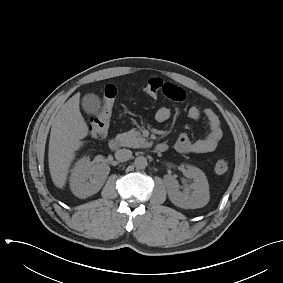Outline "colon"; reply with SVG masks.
<instances>
[{"label":"colon","instance_id":"5ec220e1","mask_svg":"<svg viewBox=\"0 0 283 283\" xmlns=\"http://www.w3.org/2000/svg\"><path fill=\"white\" fill-rule=\"evenodd\" d=\"M163 81L160 78H151L143 86L146 94L155 96L161 92ZM117 96V89L114 85H107L101 99V105L97 115L91 118L89 123V132L95 138H103L109 129L112 110ZM229 169V162L226 159H220L214 166L216 174H224Z\"/></svg>","mask_w":283,"mask_h":283}]
</instances>
